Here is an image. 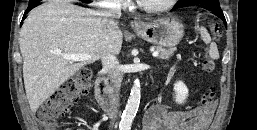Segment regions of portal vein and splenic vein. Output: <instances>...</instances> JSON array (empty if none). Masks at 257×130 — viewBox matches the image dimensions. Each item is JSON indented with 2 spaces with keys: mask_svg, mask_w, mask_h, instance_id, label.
<instances>
[{
  "mask_svg": "<svg viewBox=\"0 0 257 130\" xmlns=\"http://www.w3.org/2000/svg\"><path fill=\"white\" fill-rule=\"evenodd\" d=\"M153 57H157L159 55V52L158 51H154L152 53ZM63 58L65 59H68V60H71L73 62H78V61H86V60H97L98 57H91L89 55H86V54H62L61 55Z\"/></svg>",
  "mask_w": 257,
  "mask_h": 130,
  "instance_id": "18ae733b",
  "label": "portal vein and splenic vein"
}]
</instances>
